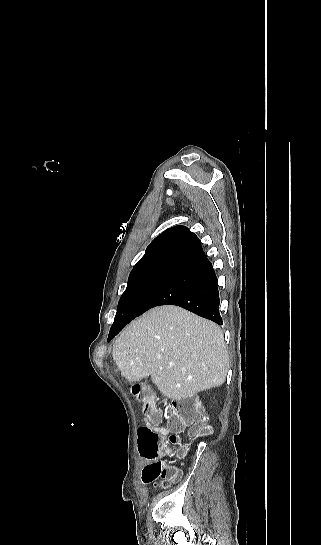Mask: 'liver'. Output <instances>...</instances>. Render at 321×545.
Segmentation results:
<instances>
[{
    "label": "liver",
    "instance_id": "6515ba94",
    "mask_svg": "<svg viewBox=\"0 0 321 545\" xmlns=\"http://www.w3.org/2000/svg\"><path fill=\"white\" fill-rule=\"evenodd\" d=\"M113 359L127 381L151 375L160 393L173 401L220 387L230 363L220 327L173 305L155 307L132 321L116 339Z\"/></svg>",
    "mask_w": 321,
    "mask_h": 545
}]
</instances>
